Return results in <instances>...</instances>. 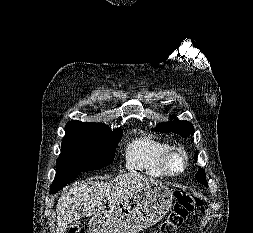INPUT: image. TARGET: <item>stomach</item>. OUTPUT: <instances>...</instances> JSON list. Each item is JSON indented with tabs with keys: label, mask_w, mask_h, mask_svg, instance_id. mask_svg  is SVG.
I'll use <instances>...</instances> for the list:
<instances>
[{
	"label": "stomach",
	"mask_w": 253,
	"mask_h": 233,
	"mask_svg": "<svg viewBox=\"0 0 253 233\" xmlns=\"http://www.w3.org/2000/svg\"><path fill=\"white\" fill-rule=\"evenodd\" d=\"M172 201L173 194L167 187L151 185L114 206L108 213L94 216L89 224L91 233H139L159 222Z\"/></svg>",
	"instance_id": "0dacf381"
}]
</instances>
